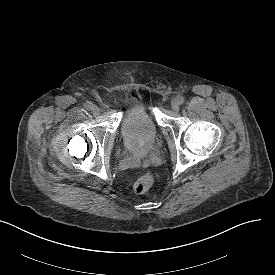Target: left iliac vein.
<instances>
[{"mask_svg": "<svg viewBox=\"0 0 275 275\" xmlns=\"http://www.w3.org/2000/svg\"><path fill=\"white\" fill-rule=\"evenodd\" d=\"M179 102H178V100H177V98H175V99H173L172 101H171V107H172V109L174 110V111H179Z\"/></svg>", "mask_w": 275, "mask_h": 275, "instance_id": "left-iliac-vein-1", "label": "left iliac vein"}]
</instances>
